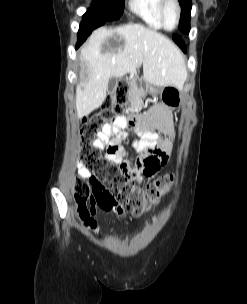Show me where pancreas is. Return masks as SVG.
<instances>
[{"label":"pancreas","mask_w":247,"mask_h":304,"mask_svg":"<svg viewBox=\"0 0 247 304\" xmlns=\"http://www.w3.org/2000/svg\"><path fill=\"white\" fill-rule=\"evenodd\" d=\"M136 84V83H134ZM132 84V85H134ZM148 90L141 89H129L127 93V100L131 105V109L140 108L143 105V99L146 96ZM150 93L154 92V89L150 88Z\"/></svg>","instance_id":"cf45deb5"}]
</instances>
